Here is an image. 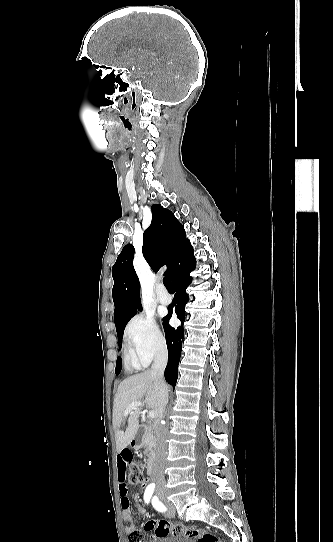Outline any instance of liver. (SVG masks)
I'll list each match as a JSON object with an SVG mask.
<instances>
[{
    "label": "liver",
    "mask_w": 333,
    "mask_h": 542,
    "mask_svg": "<svg viewBox=\"0 0 333 542\" xmlns=\"http://www.w3.org/2000/svg\"><path fill=\"white\" fill-rule=\"evenodd\" d=\"M157 400V386L155 378L151 374V370H145V372H141V374L129 376V378H126V380H123V382L119 384L113 406V430L115 432L117 454H120V452H122L124 448H127L130 442L134 440L139 430L138 418L141 414L142 406L135 408V410H131L130 414H127V416H125V410H127L133 402H141L143 406L150 408L151 412H156V418H158ZM124 420H127L128 422L125 432L119 430Z\"/></svg>",
    "instance_id": "liver-1"
}]
</instances>
